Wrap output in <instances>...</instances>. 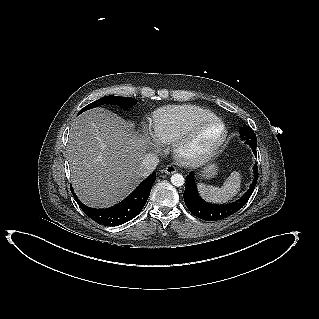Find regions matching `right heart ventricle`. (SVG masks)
<instances>
[{
    "label": "right heart ventricle",
    "instance_id": "e07e8e85",
    "mask_svg": "<svg viewBox=\"0 0 319 319\" xmlns=\"http://www.w3.org/2000/svg\"><path fill=\"white\" fill-rule=\"evenodd\" d=\"M215 117L210 110L196 105H173L157 109L151 118V129L157 140L172 144L195 123Z\"/></svg>",
    "mask_w": 319,
    "mask_h": 319
}]
</instances>
